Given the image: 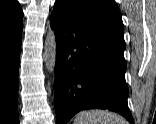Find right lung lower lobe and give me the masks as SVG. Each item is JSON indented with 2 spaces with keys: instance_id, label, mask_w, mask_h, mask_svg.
Segmentation results:
<instances>
[{
  "instance_id": "1",
  "label": "right lung lower lobe",
  "mask_w": 156,
  "mask_h": 124,
  "mask_svg": "<svg viewBox=\"0 0 156 124\" xmlns=\"http://www.w3.org/2000/svg\"><path fill=\"white\" fill-rule=\"evenodd\" d=\"M22 27L0 30V124H19L18 68Z\"/></svg>"
}]
</instances>
